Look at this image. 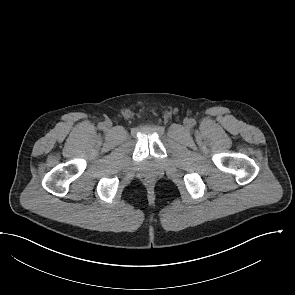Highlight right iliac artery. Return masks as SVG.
Segmentation results:
<instances>
[{
	"label": "right iliac artery",
	"instance_id": "1",
	"mask_svg": "<svg viewBox=\"0 0 295 295\" xmlns=\"http://www.w3.org/2000/svg\"><path fill=\"white\" fill-rule=\"evenodd\" d=\"M99 129H103L104 128V124L103 123H99L98 124Z\"/></svg>",
	"mask_w": 295,
	"mask_h": 295
}]
</instances>
